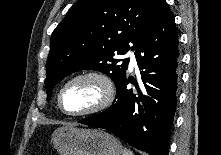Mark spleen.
<instances>
[{
  "instance_id": "spleen-1",
  "label": "spleen",
  "mask_w": 221,
  "mask_h": 155,
  "mask_svg": "<svg viewBox=\"0 0 221 155\" xmlns=\"http://www.w3.org/2000/svg\"><path fill=\"white\" fill-rule=\"evenodd\" d=\"M123 155H134L130 149L125 148L123 151Z\"/></svg>"
}]
</instances>
